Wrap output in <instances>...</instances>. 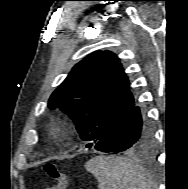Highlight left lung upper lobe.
<instances>
[{"label": "left lung upper lobe", "instance_id": "left-lung-upper-lobe-1", "mask_svg": "<svg viewBox=\"0 0 188 189\" xmlns=\"http://www.w3.org/2000/svg\"><path fill=\"white\" fill-rule=\"evenodd\" d=\"M76 124L80 137L95 145L132 108L135 101L118 57L97 51L76 64L49 99Z\"/></svg>", "mask_w": 188, "mask_h": 189}]
</instances>
